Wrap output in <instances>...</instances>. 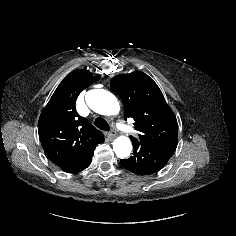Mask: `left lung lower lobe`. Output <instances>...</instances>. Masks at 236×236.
<instances>
[{"label": "left lung lower lobe", "instance_id": "obj_1", "mask_svg": "<svg viewBox=\"0 0 236 236\" xmlns=\"http://www.w3.org/2000/svg\"><path fill=\"white\" fill-rule=\"evenodd\" d=\"M133 156L121 159V165L137 175H151L161 170L175 152L177 144H143L132 142Z\"/></svg>", "mask_w": 236, "mask_h": 236}]
</instances>
